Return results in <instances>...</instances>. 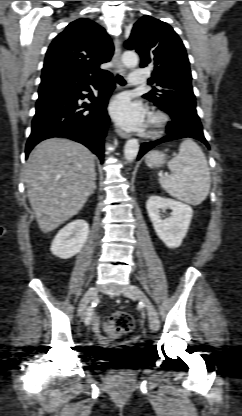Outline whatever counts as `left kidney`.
<instances>
[{
  "label": "left kidney",
  "mask_w": 242,
  "mask_h": 416,
  "mask_svg": "<svg viewBox=\"0 0 242 416\" xmlns=\"http://www.w3.org/2000/svg\"><path fill=\"white\" fill-rule=\"evenodd\" d=\"M148 216L153 224L157 236L169 248H177L188 231L193 210L182 202L151 196L146 202ZM170 209L171 217L161 219L160 210Z\"/></svg>",
  "instance_id": "obj_1"
}]
</instances>
